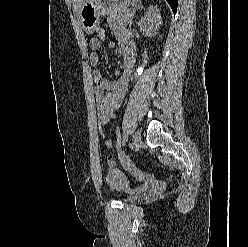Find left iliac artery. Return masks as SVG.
<instances>
[{
  "label": "left iliac artery",
  "mask_w": 248,
  "mask_h": 247,
  "mask_svg": "<svg viewBox=\"0 0 248 247\" xmlns=\"http://www.w3.org/2000/svg\"><path fill=\"white\" fill-rule=\"evenodd\" d=\"M126 141H127V137L123 139V145L126 143Z\"/></svg>",
  "instance_id": "1"
}]
</instances>
